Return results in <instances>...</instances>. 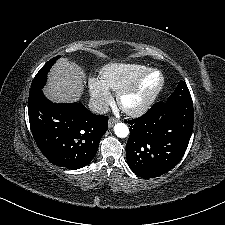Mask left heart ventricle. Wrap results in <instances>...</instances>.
Wrapping results in <instances>:
<instances>
[{"label": "left heart ventricle", "instance_id": "b2bd125f", "mask_svg": "<svg viewBox=\"0 0 225 225\" xmlns=\"http://www.w3.org/2000/svg\"><path fill=\"white\" fill-rule=\"evenodd\" d=\"M157 82V75L149 76L146 79L143 88L136 96L128 97L125 99V105L127 107H135L140 104L142 100L146 97V95L156 86Z\"/></svg>", "mask_w": 225, "mask_h": 225}]
</instances>
